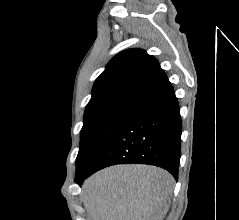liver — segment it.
<instances>
[{"mask_svg": "<svg viewBox=\"0 0 239 220\" xmlns=\"http://www.w3.org/2000/svg\"><path fill=\"white\" fill-rule=\"evenodd\" d=\"M173 185V177L163 169L115 165L85 181L83 203L92 220H163Z\"/></svg>", "mask_w": 239, "mask_h": 220, "instance_id": "1", "label": "liver"}]
</instances>
